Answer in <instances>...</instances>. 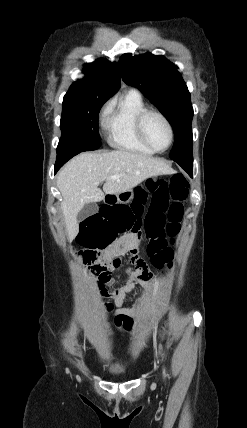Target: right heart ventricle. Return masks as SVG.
<instances>
[{
  "mask_svg": "<svg viewBox=\"0 0 247 428\" xmlns=\"http://www.w3.org/2000/svg\"><path fill=\"white\" fill-rule=\"evenodd\" d=\"M145 109L144 99L136 89L128 90L110 105L104 126L112 147L145 155L155 153L140 140L136 131V118Z\"/></svg>",
  "mask_w": 247,
  "mask_h": 428,
  "instance_id": "obj_1",
  "label": "right heart ventricle"
}]
</instances>
